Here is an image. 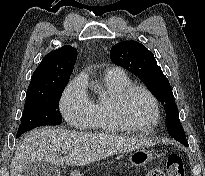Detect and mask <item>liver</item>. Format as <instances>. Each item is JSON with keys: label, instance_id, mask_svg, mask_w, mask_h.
Returning <instances> with one entry per match:
<instances>
[{"label": "liver", "instance_id": "6515ba94", "mask_svg": "<svg viewBox=\"0 0 205 176\" xmlns=\"http://www.w3.org/2000/svg\"><path fill=\"white\" fill-rule=\"evenodd\" d=\"M151 142L118 135L73 132L63 129L40 128L25 135L10 166L11 176H22L27 164L45 161L56 166H83L108 156L132 151ZM69 151L61 157L59 152Z\"/></svg>", "mask_w": 205, "mask_h": 176}]
</instances>
